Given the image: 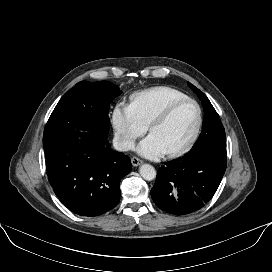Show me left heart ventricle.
<instances>
[{"instance_id": "b2bd125f", "label": "left heart ventricle", "mask_w": 272, "mask_h": 272, "mask_svg": "<svg viewBox=\"0 0 272 272\" xmlns=\"http://www.w3.org/2000/svg\"><path fill=\"white\" fill-rule=\"evenodd\" d=\"M196 120V107L186 103L178 107L166 121L155 126L150 135L157 139L165 153L170 152L187 141L194 130Z\"/></svg>"}]
</instances>
